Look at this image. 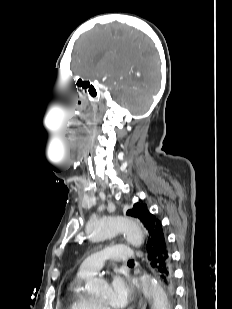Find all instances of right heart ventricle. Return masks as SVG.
I'll list each match as a JSON object with an SVG mask.
<instances>
[{"label":"right heart ventricle","mask_w":232,"mask_h":309,"mask_svg":"<svg viewBox=\"0 0 232 309\" xmlns=\"http://www.w3.org/2000/svg\"><path fill=\"white\" fill-rule=\"evenodd\" d=\"M88 277L77 273L67 290V309H99L96 302L82 291V283Z\"/></svg>","instance_id":"right-heart-ventricle-1"}]
</instances>
